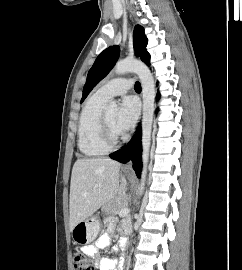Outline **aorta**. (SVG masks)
Listing matches in <instances>:
<instances>
[{
    "mask_svg": "<svg viewBox=\"0 0 242 270\" xmlns=\"http://www.w3.org/2000/svg\"><path fill=\"white\" fill-rule=\"evenodd\" d=\"M115 73L125 74L127 72L136 73L142 85L143 96V116H142V162L143 168L140 178L139 194L142 195L145 189L149 152L151 145L152 123L154 117L155 84L153 76L148 67L141 61L135 59H124L118 61L114 67ZM107 112H116L117 104L110 101L105 107Z\"/></svg>",
    "mask_w": 242,
    "mask_h": 270,
    "instance_id": "obj_1",
    "label": "aorta"
}]
</instances>
